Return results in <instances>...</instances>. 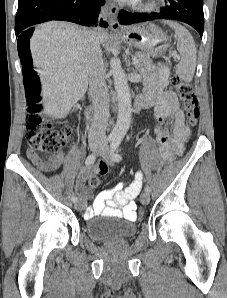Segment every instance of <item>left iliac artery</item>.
Segmentation results:
<instances>
[{
  "label": "left iliac artery",
  "mask_w": 227,
  "mask_h": 298,
  "mask_svg": "<svg viewBox=\"0 0 227 298\" xmlns=\"http://www.w3.org/2000/svg\"><path fill=\"white\" fill-rule=\"evenodd\" d=\"M122 139L120 137H116L112 139L111 142V159L114 161L122 160V156L118 153L119 145L121 144ZM151 189L148 185L145 186V192L150 193Z\"/></svg>",
  "instance_id": "obj_1"
}]
</instances>
